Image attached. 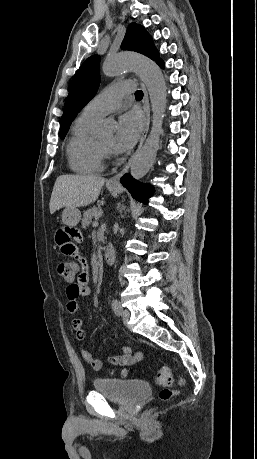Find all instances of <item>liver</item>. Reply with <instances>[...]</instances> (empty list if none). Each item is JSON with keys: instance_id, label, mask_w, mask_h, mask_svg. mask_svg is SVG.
I'll list each match as a JSON object with an SVG mask.
<instances>
[{"instance_id": "6515ba94", "label": "liver", "mask_w": 257, "mask_h": 459, "mask_svg": "<svg viewBox=\"0 0 257 459\" xmlns=\"http://www.w3.org/2000/svg\"><path fill=\"white\" fill-rule=\"evenodd\" d=\"M105 178L95 175H61L54 184L49 203L50 213L63 207H83L95 202Z\"/></svg>"}]
</instances>
